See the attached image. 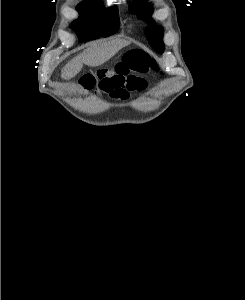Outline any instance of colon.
Segmentation results:
<instances>
[{"instance_id":"5ec220e1","label":"colon","mask_w":245,"mask_h":300,"mask_svg":"<svg viewBox=\"0 0 245 300\" xmlns=\"http://www.w3.org/2000/svg\"><path fill=\"white\" fill-rule=\"evenodd\" d=\"M149 70L158 71L157 62L146 52L133 50L128 52L121 63L117 64L113 70L83 75L80 79V85L85 89H91L107 73H114L124 78H130L134 76V73H145Z\"/></svg>"}]
</instances>
